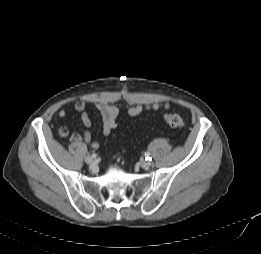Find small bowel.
Masks as SVG:
<instances>
[{
    "label": "small bowel",
    "instance_id": "small-bowel-1",
    "mask_svg": "<svg viewBox=\"0 0 261 254\" xmlns=\"http://www.w3.org/2000/svg\"><path fill=\"white\" fill-rule=\"evenodd\" d=\"M88 102L81 100L74 104V109L81 115V121L85 130L79 133H72L67 127H61L58 131L61 137H70V139L74 142L85 141L90 145L91 148L97 149L99 147V142L92 138L90 131L88 130L92 124L91 117L87 112ZM97 109L99 110L102 121H103V134L105 136H109L112 131L118 125V116L119 109L117 106L108 104L105 102H99L96 104ZM170 107L169 102H152L146 104H137L130 107L127 111L128 116L136 117L139 116L144 111H157L160 109H168ZM58 116L61 119H65L67 117V112L65 109H61L58 111Z\"/></svg>",
    "mask_w": 261,
    "mask_h": 254
}]
</instances>
